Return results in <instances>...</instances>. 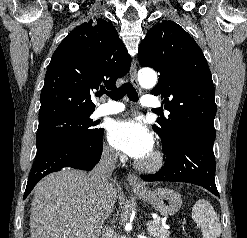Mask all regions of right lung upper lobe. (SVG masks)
Instances as JSON below:
<instances>
[{
  "label": "right lung upper lobe",
  "mask_w": 247,
  "mask_h": 238,
  "mask_svg": "<svg viewBox=\"0 0 247 238\" xmlns=\"http://www.w3.org/2000/svg\"><path fill=\"white\" fill-rule=\"evenodd\" d=\"M131 56L114 26L90 20L72 30L53 53L41 91L39 122L64 115L93 113V89L116 88Z\"/></svg>",
  "instance_id": "right-lung-upper-lobe-1"
}]
</instances>
